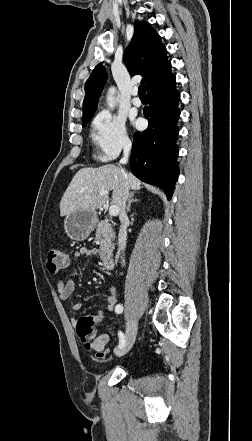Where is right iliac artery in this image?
Listing matches in <instances>:
<instances>
[{"label": "right iliac artery", "mask_w": 252, "mask_h": 441, "mask_svg": "<svg viewBox=\"0 0 252 441\" xmlns=\"http://www.w3.org/2000/svg\"><path fill=\"white\" fill-rule=\"evenodd\" d=\"M122 311H123V306L121 304H118L116 306L115 312L117 314H120V313H122ZM118 336H119V346H118V348L120 349L125 344V336H124V334L121 331H119Z\"/></svg>", "instance_id": "82829eb1"}]
</instances>
